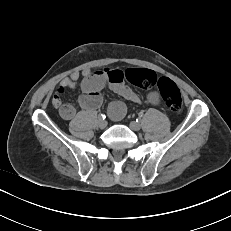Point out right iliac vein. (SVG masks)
<instances>
[{
	"label": "right iliac vein",
	"instance_id": "right-iliac-vein-1",
	"mask_svg": "<svg viewBox=\"0 0 231 231\" xmlns=\"http://www.w3.org/2000/svg\"><path fill=\"white\" fill-rule=\"evenodd\" d=\"M98 126H99V128L103 129L107 126V122L104 119L99 118Z\"/></svg>",
	"mask_w": 231,
	"mask_h": 231
}]
</instances>
